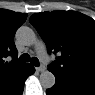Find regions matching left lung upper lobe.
Segmentation results:
<instances>
[{
    "label": "left lung upper lobe",
    "mask_w": 95,
    "mask_h": 95,
    "mask_svg": "<svg viewBox=\"0 0 95 95\" xmlns=\"http://www.w3.org/2000/svg\"><path fill=\"white\" fill-rule=\"evenodd\" d=\"M30 23L46 43L58 53L48 67L55 76H71L95 82V21L75 11L41 12Z\"/></svg>",
    "instance_id": "1"
}]
</instances>
